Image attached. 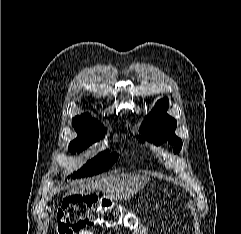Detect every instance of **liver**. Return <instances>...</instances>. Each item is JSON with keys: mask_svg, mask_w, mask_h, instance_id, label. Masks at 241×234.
I'll return each mask as SVG.
<instances>
[{"mask_svg": "<svg viewBox=\"0 0 241 234\" xmlns=\"http://www.w3.org/2000/svg\"><path fill=\"white\" fill-rule=\"evenodd\" d=\"M150 181V177L136 174H120L92 181H84L71 189V194H88L99 190L111 200H127Z\"/></svg>", "mask_w": 241, "mask_h": 234, "instance_id": "liver-1", "label": "liver"}]
</instances>
